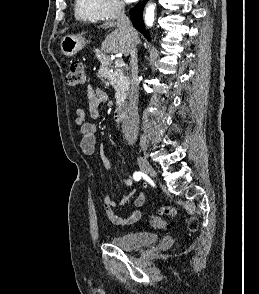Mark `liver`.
Here are the masks:
<instances>
[{"mask_svg":"<svg viewBox=\"0 0 259 294\" xmlns=\"http://www.w3.org/2000/svg\"><path fill=\"white\" fill-rule=\"evenodd\" d=\"M110 27L115 28L110 34L107 35L101 46V51L104 53H121L125 56L129 55L128 39L124 31H122L117 22L107 21L101 25V28L108 29ZM135 45L140 43L137 32L134 34Z\"/></svg>","mask_w":259,"mask_h":294,"instance_id":"6515ba94","label":"liver"}]
</instances>
